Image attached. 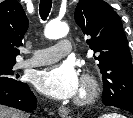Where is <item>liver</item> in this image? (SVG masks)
<instances>
[{"label": "liver", "mask_w": 133, "mask_h": 118, "mask_svg": "<svg viewBox=\"0 0 133 118\" xmlns=\"http://www.w3.org/2000/svg\"><path fill=\"white\" fill-rule=\"evenodd\" d=\"M0 118H28V115L14 108L0 105Z\"/></svg>", "instance_id": "1"}]
</instances>
